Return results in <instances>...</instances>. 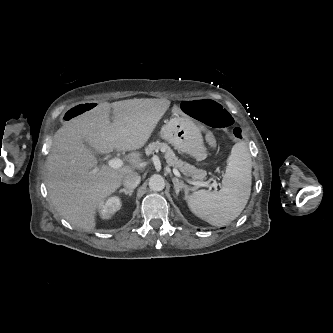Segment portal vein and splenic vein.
Wrapping results in <instances>:
<instances>
[{"instance_id": "obj_1", "label": "portal vein and splenic vein", "mask_w": 333, "mask_h": 333, "mask_svg": "<svg viewBox=\"0 0 333 333\" xmlns=\"http://www.w3.org/2000/svg\"><path fill=\"white\" fill-rule=\"evenodd\" d=\"M108 165L111 168H120L123 165V161L121 159H119V158H114V159L109 160ZM173 173L177 177H180V178L182 177L181 174H180V172L177 169H175V168L173 169ZM186 182L189 183V184L195 185L197 187L208 186V182L192 181L190 179H186ZM211 185L213 187H217L218 183L217 182H213Z\"/></svg>"}]
</instances>
